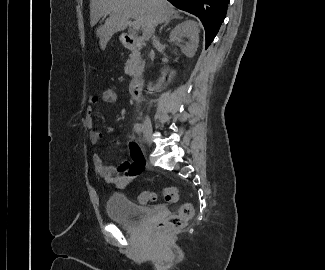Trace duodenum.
<instances>
[{
  "label": "duodenum",
  "mask_w": 325,
  "mask_h": 270,
  "mask_svg": "<svg viewBox=\"0 0 325 270\" xmlns=\"http://www.w3.org/2000/svg\"><path fill=\"white\" fill-rule=\"evenodd\" d=\"M123 41L127 49H129L132 53V59H137L140 49L141 43L140 41L132 34L124 33ZM131 93L136 100H140L142 97V83L140 78H136L131 85Z\"/></svg>",
  "instance_id": "1"
}]
</instances>
